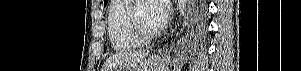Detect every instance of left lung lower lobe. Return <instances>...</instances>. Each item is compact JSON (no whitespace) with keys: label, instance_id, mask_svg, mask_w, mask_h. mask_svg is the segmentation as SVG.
Wrapping results in <instances>:
<instances>
[{"label":"left lung lower lobe","instance_id":"0a47b994","mask_svg":"<svg viewBox=\"0 0 301 71\" xmlns=\"http://www.w3.org/2000/svg\"><path fill=\"white\" fill-rule=\"evenodd\" d=\"M207 2L193 0L190 5L191 30L194 38L192 41L200 42L206 34ZM200 37H203L202 39ZM198 38V39H197Z\"/></svg>","mask_w":301,"mask_h":71}]
</instances>
